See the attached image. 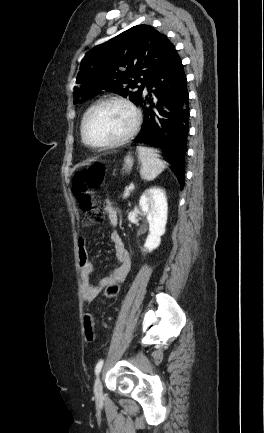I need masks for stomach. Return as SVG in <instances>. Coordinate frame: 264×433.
<instances>
[{
	"instance_id": "0dacf381",
	"label": "stomach",
	"mask_w": 264,
	"mask_h": 433,
	"mask_svg": "<svg viewBox=\"0 0 264 433\" xmlns=\"http://www.w3.org/2000/svg\"><path fill=\"white\" fill-rule=\"evenodd\" d=\"M133 163H134V159H133V157L131 156V154L128 153V154L125 156V158H124V164H123V168H122V170H123L124 172H129V171H131L132 166H133Z\"/></svg>"
}]
</instances>
